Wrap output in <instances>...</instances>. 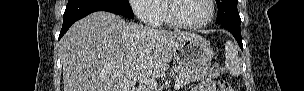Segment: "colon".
Masks as SVG:
<instances>
[{
  "mask_svg": "<svg viewBox=\"0 0 304 91\" xmlns=\"http://www.w3.org/2000/svg\"><path fill=\"white\" fill-rule=\"evenodd\" d=\"M219 90L220 91H234L231 84L224 80L219 81Z\"/></svg>",
  "mask_w": 304,
  "mask_h": 91,
  "instance_id": "obj_1",
  "label": "colon"
}]
</instances>
